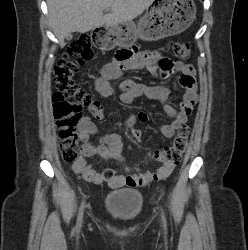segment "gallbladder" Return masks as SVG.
Masks as SVG:
<instances>
[{"label": "gallbladder", "mask_w": 248, "mask_h": 250, "mask_svg": "<svg viewBox=\"0 0 248 250\" xmlns=\"http://www.w3.org/2000/svg\"><path fill=\"white\" fill-rule=\"evenodd\" d=\"M72 34H68L65 38H66V40H71L72 39Z\"/></svg>", "instance_id": "obj_1"}]
</instances>
